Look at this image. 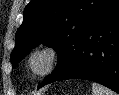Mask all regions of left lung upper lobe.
Segmentation results:
<instances>
[{
  "label": "left lung upper lobe",
  "mask_w": 119,
  "mask_h": 95,
  "mask_svg": "<svg viewBox=\"0 0 119 95\" xmlns=\"http://www.w3.org/2000/svg\"><path fill=\"white\" fill-rule=\"evenodd\" d=\"M115 0H31L24 10L23 23L16 32L11 63L17 64L32 48L43 43L58 53V64L50 78L65 72L75 60L77 45L91 24Z\"/></svg>",
  "instance_id": "obj_1"
}]
</instances>
